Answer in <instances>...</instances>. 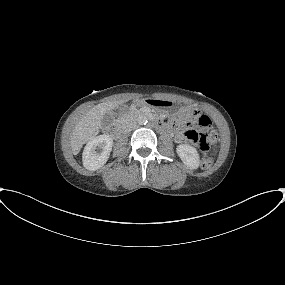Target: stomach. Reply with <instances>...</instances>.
<instances>
[{
	"mask_svg": "<svg viewBox=\"0 0 285 285\" xmlns=\"http://www.w3.org/2000/svg\"><path fill=\"white\" fill-rule=\"evenodd\" d=\"M138 104L141 106H147L153 111L166 113L173 112L182 107L180 102L157 98H145L138 101Z\"/></svg>",
	"mask_w": 285,
	"mask_h": 285,
	"instance_id": "obj_1",
	"label": "stomach"
}]
</instances>
